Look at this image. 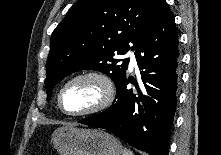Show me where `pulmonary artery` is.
<instances>
[{
  "label": "pulmonary artery",
  "mask_w": 221,
  "mask_h": 155,
  "mask_svg": "<svg viewBox=\"0 0 221 155\" xmlns=\"http://www.w3.org/2000/svg\"><path fill=\"white\" fill-rule=\"evenodd\" d=\"M124 58H129V60H130V63H129L130 69H133V68H135V67L137 66L136 57H135L134 52L129 51V52L124 56Z\"/></svg>",
  "instance_id": "1"
}]
</instances>
